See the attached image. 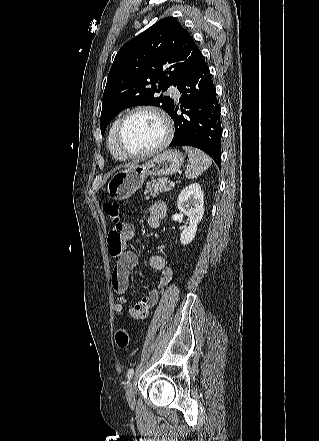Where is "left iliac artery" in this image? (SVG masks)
<instances>
[{"label": "left iliac artery", "mask_w": 319, "mask_h": 441, "mask_svg": "<svg viewBox=\"0 0 319 441\" xmlns=\"http://www.w3.org/2000/svg\"><path fill=\"white\" fill-rule=\"evenodd\" d=\"M133 374H134V369H133V368L129 369L128 372H127V379H128V382H129V381L131 380V378L133 377Z\"/></svg>", "instance_id": "left-iliac-artery-1"}]
</instances>
